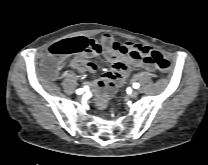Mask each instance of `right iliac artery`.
<instances>
[{
  "label": "right iliac artery",
  "instance_id": "obj_1",
  "mask_svg": "<svg viewBox=\"0 0 208 165\" xmlns=\"http://www.w3.org/2000/svg\"><path fill=\"white\" fill-rule=\"evenodd\" d=\"M76 93H77V94H82V93H83V89H78V90L76 91Z\"/></svg>",
  "mask_w": 208,
  "mask_h": 165
}]
</instances>
